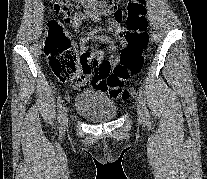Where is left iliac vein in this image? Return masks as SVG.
Instances as JSON below:
<instances>
[{"mask_svg":"<svg viewBox=\"0 0 207 179\" xmlns=\"http://www.w3.org/2000/svg\"><path fill=\"white\" fill-rule=\"evenodd\" d=\"M136 107H137V114H138V118L140 121L144 122L146 121V116H145V111H144V106L142 104L141 98L137 97L136 100Z\"/></svg>","mask_w":207,"mask_h":179,"instance_id":"obj_1","label":"left iliac vein"}]
</instances>
